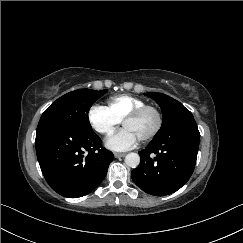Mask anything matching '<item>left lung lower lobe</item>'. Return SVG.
<instances>
[{
  "mask_svg": "<svg viewBox=\"0 0 243 243\" xmlns=\"http://www.w3.org/2000/svg\"><path fill=\"white\" fill-rule=\"evenodd\" d=\"M199 139L195 120L154 137L139 152L140 165L131 172L134 183L155 196L168 195L180 189L193 173Z\"/></svg>",
  "mask_w": 243,
  "mask_h": 243,
  "instance_id": "obj_1",
  "label": "left lung lower lobe"
}]
</instances>
